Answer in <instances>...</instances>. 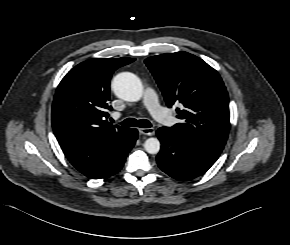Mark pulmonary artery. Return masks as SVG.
<instances>
[{"instance_id":"obj_1","label":"pulmonary artery","mask_w":290,"mask_h":245,"mask_svg":"<svg viewBox=\"0 0 290 245\" xmlns=\"http://www.w3.org/2000/svg\"><path fill=\"white\" fill-rule=\"evenodd\" d=\"M143 102L155 120L167 126L174 124V117L159 104L157 95L153 89L146 88L143 95Z\"/></svg>"}]
</instances>
